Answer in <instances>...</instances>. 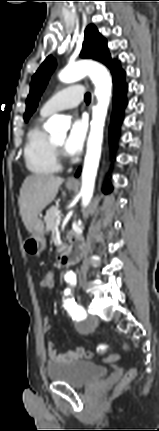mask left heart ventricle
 <instances>
[{"mask_svg": "<svg viewBox=\"0 0 159 431\" xmlns=\"http://www.w3.org/2000/svg\"><path fill=\"white\" fill-rule=\"evenodd\" d=\"M54 142L59 144V145H62L64 142V136H59V137L55 138Z\"/></svg>", "mask_w": 159, "mask_h": 431, "instance_id": "obj_1", "label": "left heart ventricle"}]
</instances>
